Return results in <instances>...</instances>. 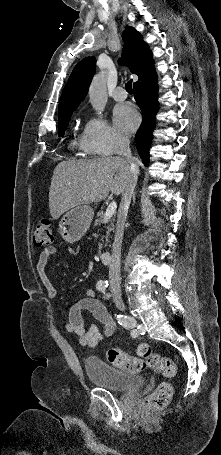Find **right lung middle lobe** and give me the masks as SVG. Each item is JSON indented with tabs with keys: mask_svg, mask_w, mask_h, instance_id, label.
Wrapping results in <instances>:
<instances>
[{
	"mask_svg": "<svg viewBox=\"0 0 221 455\" xmlns=\"http://www.w3.org/2000/svg\"><path fill=\"white\" fill-rule=\"evenodd\" d=\"M72 112L73 111H64V112L58 113V119H59V129H58V131H59V136H63L64 135L65 129H66V127L69 124V120H70V117L72 115Z\"/></svg>",
	"mask_w": 221,
	"mask_h": 455,
	"instance_id": "right-lung-middle-lobe-1",
	"label": "right lung middle lobe"
}]
</instances>
